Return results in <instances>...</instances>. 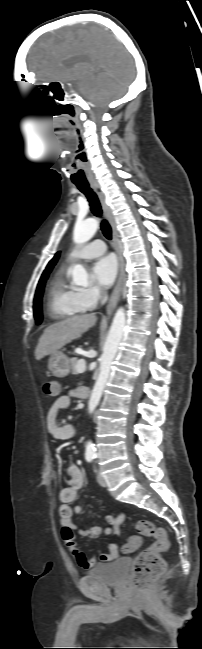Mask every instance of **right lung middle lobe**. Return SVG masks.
I'll return each instance as SVG.
<instances>
[{"label":"right lung middle lobe","mask_w":202,"mask_h":649,"mask_svg":"<svg viewBox=\"0 0 202 649\" xmlns=\"http://www.w3.org/2000/svg\"><path fill=\"white\" fill-rule=\"evenodd\" d=\"M50 272L51 271H48L42 274L36 289L33 309H34V318L36 319L37 324H40L42 320V295H43L46 280Z\"/></svg>","instance_id":"1"}]
</instances>
